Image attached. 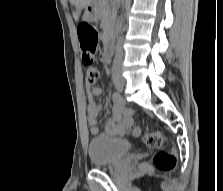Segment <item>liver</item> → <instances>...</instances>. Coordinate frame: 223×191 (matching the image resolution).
Returning a JSON list of instances; mask_svg holds the SVG:
<instances>
[{
    "label": "liver",
    "instance_id": "1",
    "mask_svg": "<svg viewBox=\"0 0 223 191\" xmlns=\"http://www.w3.org/2000/svg\"><path fill=\"white\" fill-rule=\"evenodd\" d=\"M93 1L94 0H70V3L76 7V11H73L75 21H78L81 9L87 8Z\"/></svg>",
    "mask_w": 223,
    "mask_h": 191
}]
</instances>
